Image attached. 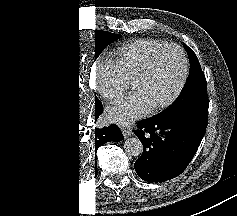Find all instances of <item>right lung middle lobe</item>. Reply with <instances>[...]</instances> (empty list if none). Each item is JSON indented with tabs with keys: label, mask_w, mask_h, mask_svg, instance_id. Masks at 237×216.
I'll list each match as a JSON object with an SVG mask.
<instances>
[{
	"label": "right lung middle lobe",
	"mask_w": 237,
	"mask_h": 216,
	"mask_svg": "<svg viewBox=\"0 0 237 216\" xmlns=\"http://www.w3.org/2000/svg\"><path fill=\"white\" fill-rule=\"evenodd\" d=\"M120 37L121 35L119 34L95 30V60L108 44L112 43ZM96 102H99L97 97Z\"/></svg>",
	"instance_id": "obj_1"
}]
</instances>
